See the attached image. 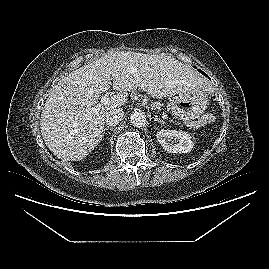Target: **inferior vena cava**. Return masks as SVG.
<instances>
[{"label": "inferior vena cava", "instance_id": "obj_1", "mask_svg": "<svg viewBox=\"0 0 269 269\" xmlns=\"http://www.w3.org/2000/svg\"><path fill=\"white\" fill-rule=\"evenodd\" d=\"M124 111L122 108H114L109 110L105 115V123L108 126H116L123 118Z\"/></svg>", "mask_w": 269, "mask_h": 269}]
</instances>
